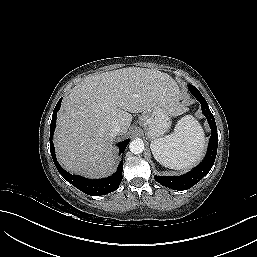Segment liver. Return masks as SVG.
I'll list each match as a JSON object with an SVG mask.
<instances>
[{
    "label": "liver",
    "instance_id": "obj_1",
    "mask_svg": "<svg viewBox=\"0 0 257 257\" xmlns=\"http://www.w3.org/2000/svg\"><path fill=\"white\" fill-rule=\"evenodd\" d=\"M176 82L155 69L128 67L87 77L71 89L58 113L56 154L68 171L101 177L115 165L111 128L128 131L131 113L161 103L173 116L183 113Z\"/></svg>",
    "mask_w": 257,
    "mask_h": 257
}]
</instances>
